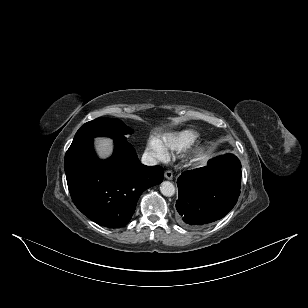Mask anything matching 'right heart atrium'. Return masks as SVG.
Returning a JSON list of instances; mask_svg holds the SVG:
<instances>
[{
	"mask_svg": "<svg viewBox=\"0 0 308 308\" xmlns=\"http://www.w3.org/2000/svg\"><path fill=\"white\" fill-rule=\"evenodd\" d=\"M148 150L157 159L163 160L166 158V151L161 147L157 140L149 141Z\"/></svg>",
	"mask_w": 308,
	"mask_h": 308,
	"instance_id": "obj_1",
	"label": "right heart atrium"
}]
</instances>
